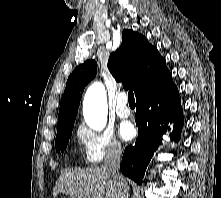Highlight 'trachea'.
<instances>
[{"mask_svg":"<svg viewBox=\"0 0 221 198\" xmlns=\"http://www.w3.org/2000/svg\"><path fill=\"white\" fill-rule=\"evenodd\" d=\"M128 101H129V104H135V98H134L133 91L128 92Z\"/></svg>","mask_w":221,"mask_h":198,"instance_id":"obj_1","label":"trachea"}]
</instances>
